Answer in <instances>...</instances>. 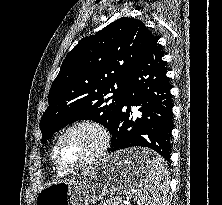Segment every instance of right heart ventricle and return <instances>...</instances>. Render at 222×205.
<instances>
[{"instance_id":"obj_1","label":"right heart ventricle","mask_w":222,"mask_h":205,"mask_svg":"<svg viewBox=\"0 0 222 205\" xmlns=\"http://www.w3.org/2000/svg\"><path fill=\"white\" fill-rule=\"evenodd\" d=\"M56 173L58 174V175H63L64 173L63 172H61L60 170H58L57 168H56Z\"/></svg>"}]
</instances>
